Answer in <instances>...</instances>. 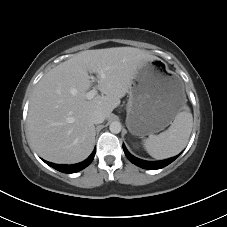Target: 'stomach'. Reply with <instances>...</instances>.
Returning a JSON list of instances; mask_svg holds the SVG:
<instances>
[{
  "instance_id": "obj_1",
  "label": "stomach",
  "mask_w": 227,
  "mask_h": 227,
  "mask_svg": "<svg viewBox=\"0 0 227 227\" xmlns=\"http://www.w3.org/2000/svg\"><path fill=\"white\" fill-rule=\"evenodd\" d=\"M185 103L181 80L170 74L167 64L161 59L145 61L130 85L127 128L136 136L155 134L172 123Z\"/></svg>"
}]
</instances>
